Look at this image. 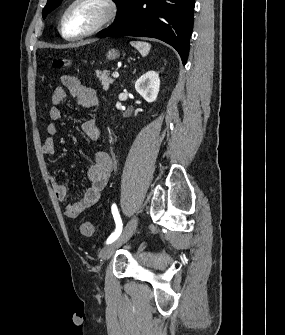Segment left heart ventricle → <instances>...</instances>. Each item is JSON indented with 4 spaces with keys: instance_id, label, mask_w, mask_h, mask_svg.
Returning <instances> with one entry per match:
<instances>
[{
    "instance_id": "left-heart-ventricle-1",
    "label": "left heart ventricle",
    "mask_w": 285,
    "mask_h": 335,
    "mask_svg": "<svg viewBox=\"0 0 285 335\" xmlns=\"http://www.w3.org/2000/svg\"><path fill=\"white\" fill-rule=\"evenodd\" d=\"M105 9L96 4H80L73 13V23L82 29L89 28L105 16Z\"/></svg>"
}]
</instances>
